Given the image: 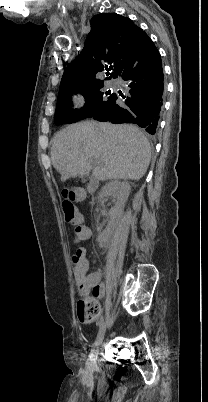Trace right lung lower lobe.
<instances>
[{
    "label": "right lung lower lobe",
    "mask_w": 208,
    "mask_h": 402,
    "mask_svg": "<svg viewBox=\"0 0 208 402\" xmlns=\"http://www.w3.org/2000/svg\"><path fill=\"white\" fill-rule=\"evenodd\" d=\"M117 77L130 87L124 101L115 100L109 110L96 113L93 118L101 122L133 123L155 134L164 100V74L161 56L144 33L132 51L124 58Z\"/></svg>",
    "instance_id": "obj_1"
}]
</instances>
